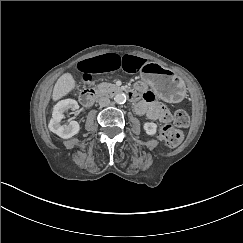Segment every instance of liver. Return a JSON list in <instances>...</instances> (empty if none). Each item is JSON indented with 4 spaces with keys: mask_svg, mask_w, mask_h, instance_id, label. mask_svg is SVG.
I'll list each match as a JSON object with an SVG mask.
<instances>
[{
    "mask_svg": "<svg viewBox=\"0 0 243 243\" xmlns=\"http://www.w3.org/2000/svg\"><path fill=\"white\" fill-rule=\"evenodd\" d=\"M75 88V80L70 73H65L57 80L52 94L53 101L61 99Z\"/></svg>",
    "mask_w": 243,
    "mask_h": 243,
    "instance_id": "1",
    "label": "liver"
}]
</instances>
